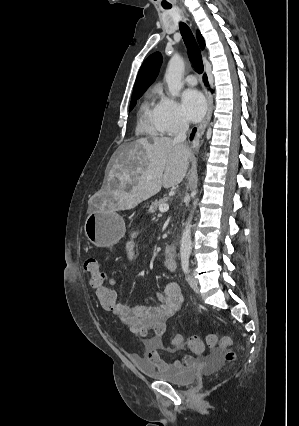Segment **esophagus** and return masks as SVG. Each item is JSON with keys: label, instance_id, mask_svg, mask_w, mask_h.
I'll return each instance as SVG.
<instances>
[{"label": "esophagus", "instance_id": "34e87169", "mask_svg": "<svg viewBox=\"0 0 299 426\" xmlns=\"http://www.w3.org/2000/svg\"><path fill=\"white\" fill-rule=\"evenodd\" d=\"M205 95H206V99H207V103H208V110H207V114L204 118V120L198 125L197 128V137L193 143V147H198L199 146V138L200 136L204 133L210 119L212 116V111H213V98L212 95L209 91H205Z\"/></svg>", "mask_w": 299, "mask_h": 426}]
</instances>
